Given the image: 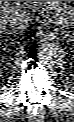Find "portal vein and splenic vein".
<instances>
[{
  "instance_id": "18ae733b",
  "label": "portal vein and splenic vein",
  "mask_w": 74,
  "mask_h": 122,
  "mask_svg": "<svg viewBox=\"0 0 74 122\" xmlns=\"http://www.w3.org/2000/svg\"><path fill=\"white\" fill-rule=\"evenodd\" d=\"M3 9H11L12 8V2L10 1H5L3 6H2Z\"/></svg>"
}]
</instances>
